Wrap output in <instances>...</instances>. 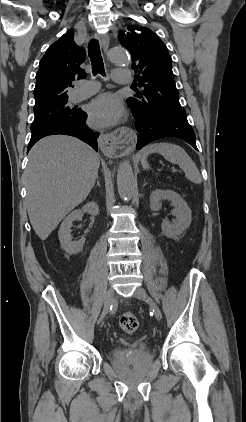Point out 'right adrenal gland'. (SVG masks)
Returning <instances> with one entry per match:
<instances>
[{"mask_svg":"<svg viewBox=\"0 0 246 422\" xmlns=\"http://www.w3.org/2000/svg\"><path fill=\"white\" fill-rule=\"evenodd\" d=\"M97 184H96V186H100V183H99V178H98V176H97Z\"/></svg>","mask_w":246,"mask_h":422,"instance_id":"right-adrenal-gland-1","label":"right adrenal gland"}]
</instances>
